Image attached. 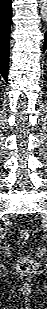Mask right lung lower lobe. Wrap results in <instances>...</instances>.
<instances>
[{
    "mask_svg": "<svg viewBox=\"0 0 47 309\" xmlns=\"http://www.w3.org/2000/svg\"><path fill=\"white\" fill-rule=\"evenodd\" d=\"M12 0H0V74L8 82Z\"/></svg>",
    "mask_w": 47,
    "mask_h": 309,
    "instance_id": "98d812e1",
    "label": "right lung lower lobe"
}]
</instances>
